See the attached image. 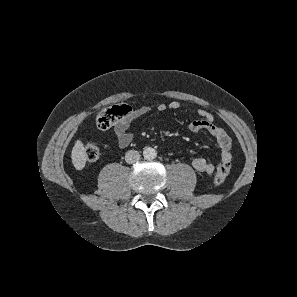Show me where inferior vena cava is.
Segmentation results:
<instances>
[{
    "instance_id": "obj_1",
    "label": "inferior vena cava",
    "mask_w": 297,
    "mask_h": 297,
    "mask_svg": "<svg viewBox=\"0 0 297 297\" xmlns=\"http://www.w3.org/2000/svg\"><path fill=\"white\" fill-rule=\"evenodd\" d=\"M140 160V153L136 150H130L125 155V161L128 164H133Z\"/></svg>"
}]
</instances>
